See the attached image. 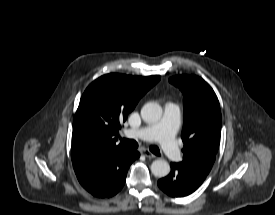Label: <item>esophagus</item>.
Instances as JSON below:
<instances>
[{"instance_id":"34e87169","label":"esophagus","mask_w":275,"mask_h":215,"mask_svg":"<svg viewBox=\"0 0 275 215\" xmlns=\"http://www.w3.org/2000/svg\"><path fill=\"white\" fill-rule=\"evenodd\" d=\"M141 154H143L147 158H156V156L153 153L146 149L141 150Z\"/></svg>"}]
</instances>
